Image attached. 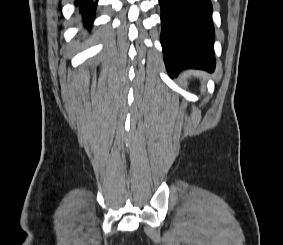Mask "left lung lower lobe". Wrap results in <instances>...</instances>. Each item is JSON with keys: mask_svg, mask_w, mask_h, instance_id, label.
Here are the masks:
<instances>
[{"mask_svg": "<svg viewBox=\"0 0 283 245\" xmlns=\"http://www.w3.org/2000/svg\"><path fill=\"white\" fill-rule=\"evenodd\" d=\"M161 44L171 78L186 68L213 72L214 27L210 0H159Z\"/></svg>", "mask_w": 283, "mask_h": 245, "instance_id": "0a47b994", "label": "left lung lower lobe"}]
</instances>
